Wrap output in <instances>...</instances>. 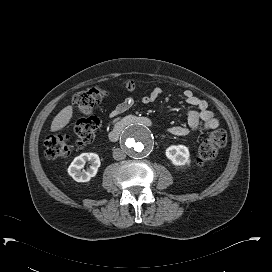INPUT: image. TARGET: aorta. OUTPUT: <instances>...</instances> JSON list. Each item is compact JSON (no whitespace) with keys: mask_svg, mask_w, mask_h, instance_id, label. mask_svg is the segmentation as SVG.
I'll use <instances>...</instances> for the list:
<instances>
[{"mask_svg":"<svg viewBox=\"0 0 272 272\" xmlns=\"http://www.w3.org/2000/svg\"><path fill=\"white\" fill-rule=\"evenodd\" d=\"M154 142V136L151 131L138 124L126 129L121 138L123 149L133 158L147 156L152 151Z\"/></svg>","mask_w":272,"mask_h":272,"instance_id":"obj_1","label":"aorta"}]
</instances>
